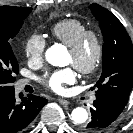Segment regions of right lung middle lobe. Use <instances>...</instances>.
<instances>
[{
	"label": "right lung middle lobe",
	"mask_w": 133,
	"mask_h": 133,
	"mask_svg": "<svg viewBox=\"0 0 133 133\" xmlns=\"http://www.w3.org/2000/svg\"><path fill=\"white\" fill-rule=\"evenodd\" d=\"M32 8L0 7V96L14 90V74H18V62L10 45L19 32L23 20L28 17Z\"/></svg>",
	"instance_id": "1"
}]
</instances>
